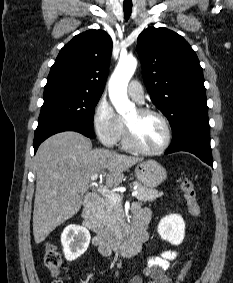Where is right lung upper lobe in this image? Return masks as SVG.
Returning <instances> with one entry per match:
<instances>
[{"label": "right lung upper lobe", "instance_id": "right-lung-upper-lobe-1", "mask_svg": "<svg viewBox=\"0 0 233 283\" xmlns=\"http://www.w3.org/2000/svg\"><path fill=\"white\" fill-rule=\"evenodd\" d=\"M112 52V39L103 30L73 37L59 52L46 85H62L103 93Z\"/></svg>", "mask_w": 233, "mask_h": 283}]
</instances>
